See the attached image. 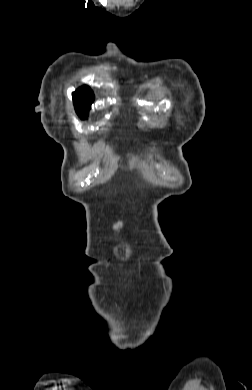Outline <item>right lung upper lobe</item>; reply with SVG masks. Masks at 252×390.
Returning <instances> with one entry per match:
<instances>
[{"mask_svg": "<svg viewBox=\"0 0 252 390\" xmlns=\"http://www.w3.org/2000/svg\"><path fill=\"white\" fill-rule=\"evenodd\" d=\"M75 110L77 113H88L94 100L92 90L88 86H82L72 94Z\"/></svg>", "mask_w": 252, "mask_h": 390, "instance_id": "right-lung-upper-lobe-1", "label": "right lung upper lobe"}]
</instances>
